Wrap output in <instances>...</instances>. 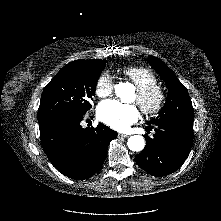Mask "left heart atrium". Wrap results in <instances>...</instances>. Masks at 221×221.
Returning a JSON list of instances; mask_svg holds the SVG:
<instances>
[{
    "mask_svg": "<svg viewBox=\"0 0 221 221\" xmlns=\"http://www.w3.org/2000/svg\"><path fill=\"white\" fill-rule=\"evenodd\" d=\"M98 117L111 128L124 131L138 120L139 112L134 105L105 100L98 106Z\"/></svg>",
    "mask_w": 221,
    "mask_h": 221,
    "instance_id": "39dd6f15",
    "label": "left heart atrium"
}]
</instances>
